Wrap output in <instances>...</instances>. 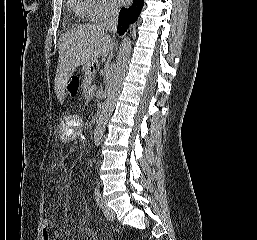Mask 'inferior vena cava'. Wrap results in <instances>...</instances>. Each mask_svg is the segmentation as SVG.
I'll list each match as a JSON object with an SVG mask.
<instances>
[{
  "label": "inferior vena cava",
  "mask_w": 257,
  "mask_h": 240,
  "mask_svg": "<svg viewBox=\"0 0 257 240\" xmlns=\"http://www.w3.org/2000/svg\"><path fill=\"white\" fill-rule=\"evenodd\" d=\"M119 6L115 2H111L107 6V12L103 23L100 25L105 32L115 33L118 25Z\"/></svg>",
  "instance_id": "obj_1"
}]
</instances>
